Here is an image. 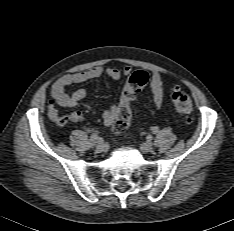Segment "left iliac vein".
I'll return each instance as SVG.
<instances>
[{"label":"left iliac vein","instance_id":"1","mask_svg":"<svg viewBox=\"0 0 234 231\" xmlns=\"http://www.w3.org/2000/svg\"><path fill=\"white\" fill-rule=\"evenodd\" d=\"M140 149L142 152L148 153L153 151L154 147L153 144L150 142H144L142 144H140Z\"/></svg>","mask_w":234,"mask_h":231}]
</instances>
